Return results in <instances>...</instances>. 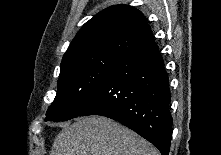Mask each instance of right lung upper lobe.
Wrapping results in <instances>:
<instances>
[{"label":"right lung upper lobe","mask_w":221,"mask_h":155,"mask_svg":"<svg viewBox=\"0 0 221 155\" xmlns=\"http://www.w3.org/2000/svg\"><path fill=\"white\" fill-rule=\"evenodd\" d=\"M151 37V28L139 10L126 5L108 7L83 25L63 56L61 69L102 53L126 55Z\"/></svg>","instance_id":"cb5924a9"}]
</instances>
